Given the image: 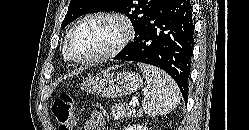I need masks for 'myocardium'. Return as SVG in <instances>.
Wrapping results in <instances>:
<instances>
[{
    "mask_svg": "<svg viewBox=\"0 0 249 130\" xmlns=\"http://www.w3.org/2000/svg\"><path fill=\"white\" fill-rule=\"evenodd\" d=\"M95 18H105L119 22L123 29V34L121 38L110 50L105 51L103 53H99L86 58H77L73 56L72 53L70 52V43L75 31L82 23ZM133 37H134V27L132 22L127 16L116 12L95 11L84 15L79 20H77L76 23L72 26L64 42V47H63L64 54L68 60L75 63L79 64L95 63L118 55L128 45V43L132 40Z\"/></svg>",
    "mask_w": 249,
    "mask_h": 130,
    "instance_id": "1",
    "label": "myocardium"
}]
</instances>
